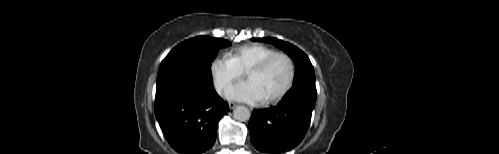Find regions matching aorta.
Wrapping results in <instances>:
<instances>
[{"instance_id":"aorta-1","label":"aorta","mask_w":499,"mask_h":154,"mask_svg":"<svg viewBox=\"0 0 499 154\" xmlns=\"http://www.w3.org/2000/svg\"><path fill=\"white\" fill-rule=\"evenodd\" d=\"M233 116L236 120L245 122L250 119L251 113L247 107L238 106L234 109Z\"/></svg>"}]
</instances>
